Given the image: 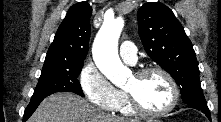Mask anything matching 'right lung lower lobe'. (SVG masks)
<instances>
[{
  "label": "right lung lower lobe",
  "mask_w": 221,
  "mask_h": 122,
  "mask_svg": "<svg viewBox=\"0 0 221 122\" xmlns=\"http://www.w3.org/2000/svg\"><path fill=\"white\" fill-rule=\"evenodd\" d=\"M43 99L30 101V104L27 106L24 112L23 121H26L32 115V113L36 110V108L38 107V105Z\"/></svg>",
  "instance_id": "right-lung-lower-lobe-1"
}]
</instances>
